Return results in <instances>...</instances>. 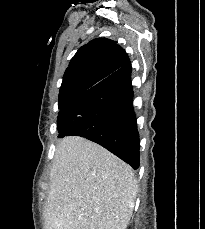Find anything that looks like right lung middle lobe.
I'll return each mask as SVG.
<instances>
[{"label": "right lung middle lobe", "instance_id": "dd1d6c3e", "mask_svg": "<svg viewBox=\"0 0 205 229\" xmlns=\"http://www.w3.org/2000/svg\"><path fill=\"white\" fill-rule=\"evenodd\" d=\"M76 99V98H75ZM74 100V99H73ZM73 100L67 99L64 100L63 102H59V109H63L64 107H66L67 105H69Z\"/></svg>", "mask_w": 205, "mask_h": 229}]
</instances>
